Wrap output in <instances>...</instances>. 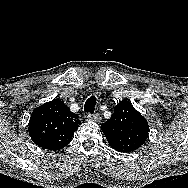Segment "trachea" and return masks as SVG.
<instances>
[{"label": "trachea", "instance_id": "trachea-1", "mask_svg": "<svg viewBox=\"0 0 188 188\" xmlns=\"http://www.w3.org/2000/svg\"><path fill=\"white\" fill-rule=\"evenodd\" d=\"M95 105H96V97L95 96H91L85 102L84 111L86 113H94V111H95Z\"/></svg>", "mask_w": 188, "mask_h": 188}]
</instances>
